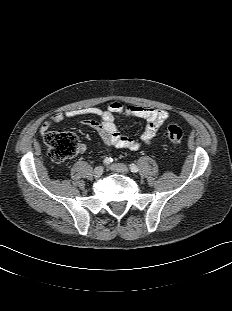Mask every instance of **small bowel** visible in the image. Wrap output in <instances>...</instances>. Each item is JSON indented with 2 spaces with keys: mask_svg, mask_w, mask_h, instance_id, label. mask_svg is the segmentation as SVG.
<instances>
[{
  "mask_svg": "<svg viewBox=\"0 0 232 311\" xmlns=\"http://www.w3.org/2000/svg\"><path fill=\"white\" fill-rule=\"evenodd\" d=\"M118 115L132 116L145 120L146 124L140 135V140L146 144L152 142L159 127L169 117L168 112L162 109L137 105L125 106L118 101H113L105 110L97 107H85L57 113L41 125L40 133L45 136L53 125L68 118L91 117L84 120L85 125L94 129L106 146L131 151L137 150L140 146L139 141L119 132L115 123V117ZM85 150V144H80V153L85 152Z\"/></svg>",
  "mask_w": 232,
  "mask_h": 311,
  "instance_id": "obj_1",
  "label": "small bowel"
}]
</instances>
